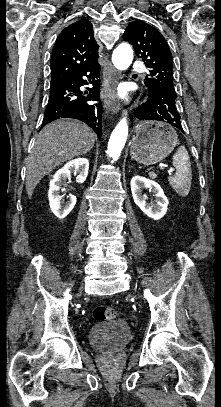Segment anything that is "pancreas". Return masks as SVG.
Here are the masks:
<instances>
[{
	"label": "pancreas",
	"mask_w": 221,
	"mask_h": 407,
	"mask_svg": "<svg viewBox=\"0 0 221 407\" xmlns=\"http://www.w3.org/2000/svg\"><path fill=\"white\" fill-rule=\"evenodd\" d=\"M151 177H155V174H150Z\"/></svg>",
	"instance_id": "1"
}]
</instances>
